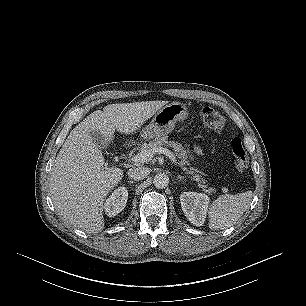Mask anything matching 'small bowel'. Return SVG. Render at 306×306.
<instances>
[{
	"instance_id": "1",
	"label": "small bowel",
	"mask_w": 306,
	"mask_h": 306,
	"mask_svg": "<svg viewBox=\"0 0 306 306\" xmlns=\"http://www.w3.org/2000/svg\"><path fill=\"white\" fill-rule=\"evenodd\" d=\"M197 152H199V153H200V149H198V148H197Z\"/></svg>"
}]
</instances>
